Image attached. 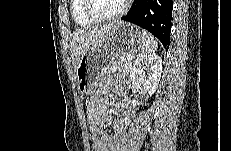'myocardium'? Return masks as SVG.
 Listing matches in <instances>:
<instances>
[{
	"mask_svg": "<svg viewBox=\"0 0 231 151\" xmlns=\"http://www.w3.org/2000/svg\"><path fill=\"white\" fill-rule=\"evenodd\" d=\"M130 2L131 1H129V0H125L121 9L113 15L99 16L93 10V0H85L84 1L85 13L94 22H98V23L111 22V21L118 20L119 18H121L122 16H124L126 14V12L128 11Z\"/></svg>",
	"mask_w": 231,
	"mask_h": 151,
	"instance_id": "1",
	"label": "myocardium"
}]
</instances>
